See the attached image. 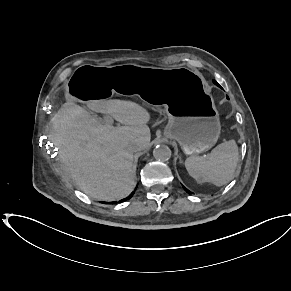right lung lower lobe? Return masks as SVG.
I'll return each instance as SVG.
<instances>
[{
    "mask_svg": "<svg viewBox=\"0 0 291 291\" xmlns=\"http://www.w3.org/2000/svg\"><path fill=\"white\" fill-rule=\"evenodd\" d=\"M134 193H135V191H133V192H132L128 197H126V198L120 200L119 202H124V201H126V200H129L130 198H132V196H133ZM102 203H106V202H102ZM110 203L114 204V203H116V202H110Z\"/></svg>",
    "mask_w": 291,
    "mask_h": 291,
    "instance_id": "right-lung-lower-lobe-1",
    "label": "right lung lower lobe"
}]
</instances>
